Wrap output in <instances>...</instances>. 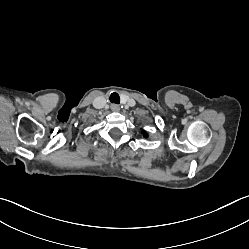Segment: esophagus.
<instances>
[{"mask_svg": "<svg viewBox=\"0 0 249 249\" xmlns=\"http://www.w3.org/2000/svg\"><path fill=\"white\" fill-rule=\"evenodd\" d=\"M111 109L113 110V111H119V106H117V105H112L111 106Z\"/></svg>", "mask_w": 249, "mask_h": 249, "instance_id": "esophagus-1", "label": "esophagus"}]
</instances>
